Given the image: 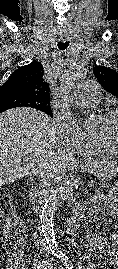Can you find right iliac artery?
Returning a JSON list of instances; mask_svg holds the SVG:
<instances>
[{
	"instance_id": "obj_1",
	"label": "right iliac artery",
	"mask_w": 118,
	"mask_h": 269,
	"mask_svg": "<svg viewBox=\"0 0 118 269\" xmlns=\"http://www.w3.org/2000/svg\"><path fill=\"white\" fill-rule=\"evenodd\" d=\"M52 260H46L38 263L37 269H47L50 267Z\"/></svg>"
}]
</instances>
